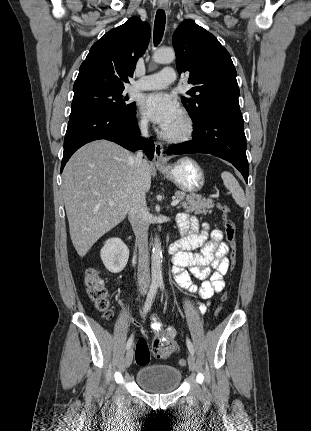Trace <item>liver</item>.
Listing matches in <instances>:
<instances>
[{
  "label": "liver",
  "mask_w": 311,
  "mask_h": 431,
  "mask_svg": "<svg viewBox=\"0 0 311 431\" xmlns=\"http://www.w3.org/2000/svg\"><path fill=\"white\" fill-rule=\"evenodd\" d=\"M134 170L133 154L107 140L86 144L65 166L62 196L72 243L81 257L127 216ZM142 174L144 192H149L152 168L147 160L142 162Z\"/></svg>",
  "instance_id": "obj_1"
}]
</instances>
